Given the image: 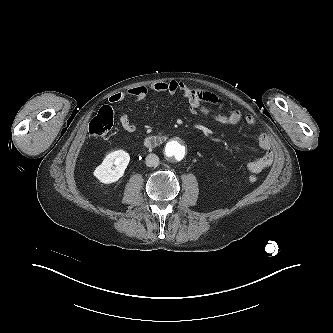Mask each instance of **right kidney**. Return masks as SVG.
Listing matches in <instances>:
<instances>
[{
	"mask_svg": "<svg viewBox=\"0 0 333 333\" xmlns=\"http://www.w3.org/2000/svg\"><path fill=\"white\" fill-rule=\"evenodd\" d=\"M129 161L130 156L127 152L123 150L111 152L95 169L94 176L104 184L116 182L124 175ZM113 165H115V167Z\"/></svg>",
	"mask_w": 333,
	"mask_h": 333,
	"instance_id": "1",
	"label": "right kidney"
}]
</instances>
